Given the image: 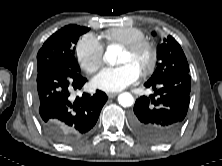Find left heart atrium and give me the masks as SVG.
<instances>
[{"mask_svg":"<svg viewBox=\"0 0 222 166\" xmlns=\"http://www.w3.org/2000/svg\"><path fill=\"white\" fill-rule=\"evenodd\" d=\"M140 70L132 63H124L116 67L103 68L94 78L92 84L106 92H118L138 80Z\"/></svg>","mask_w":222,"mask_h":166,"instance_id":"39dd6f15","label":"left heart atrium"}]
</instances>
